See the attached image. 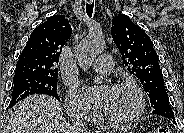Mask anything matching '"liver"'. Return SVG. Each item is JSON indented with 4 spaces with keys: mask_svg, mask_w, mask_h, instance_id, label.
Returning a JSON list of instances; mask_svg holds the SVG:
<instances>
[{
    "mask_svg": "<svg viewBox=\"0 0 184 133\" xmlns=\"http://www.w3.org/2000/svg\"><path fill=\"white\" fill-rule=\"evenodd\" d=\"M5 133H74L63 117L60 104L46 95H33L9 112Z\"/></svg>",
    "mask_w": 184,
    "mask_h": 133,
    "instance_id": "liver-1",
    "label": "liver"
}]
</instances>
